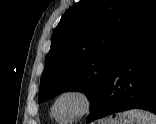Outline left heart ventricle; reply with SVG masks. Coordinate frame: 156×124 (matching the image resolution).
<instances>
[{"mask_svg":"<svg viewBox=\"0 0 156 124\" xmlns=\"http://www.w3.org/2000/svg\"><path fill=\"white\" fill-rule=\"evenodd\" d=\"M84 109V100L76 94H67L61 97L55 105L54 112L59 118L77 116Z\"/></svg>","mask_w":156,"mask_h":124,"instance_id":"1","label":"left heart ventricle"}]
</instances>
